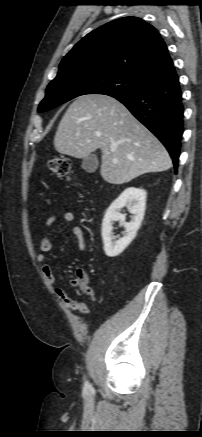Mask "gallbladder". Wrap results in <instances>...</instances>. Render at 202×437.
I'll use <instances>...</instances> for the list:
<instances>
[{"label": "gallbladder", "instance_id": "obj_1", "mask_svg": "<svg viewBox=\"0 0 202 437\" xmlns=\"http://www.w3.org/2000/svg\"><path fill=\"white\" fill-rule=\"evenodd\" d=\"M98 167V160L94 154H90L82 161V168L87 172H95Z\"/></svg>", "mask_w": 202, "mask_h": 437}]
</instances>
